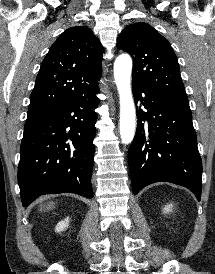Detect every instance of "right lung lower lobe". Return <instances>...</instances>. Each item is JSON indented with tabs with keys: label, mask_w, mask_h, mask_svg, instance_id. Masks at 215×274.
Segmentation results:
<instances>
[{
	"label": "right lung lower lobe",
	"mask_w": 215,
	"mask_h": 274,
	"mask_svg": "<svg viewBox=\"0 0 215 274\" xmlns=\"http://www.w3.org/2000/svg\"><path fill=\"white\" fill-rule=\"evenodd\" d=\"M97 93L98 83L24 128L18 167L23 206L43 194L71 192L93 197Z\"/></svg>",
	"instance_id": "right-lung-lower-lobe-1"
}]
</instances>
